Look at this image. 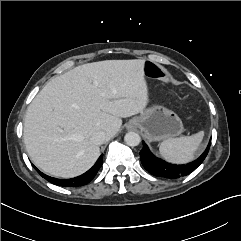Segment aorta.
Returning a JSON list of instances; mask_svg holds the SVG:
<instances>
[{
    "label": "aorta",
    "instance_id": "1",
    "mask_svg": "<svg viewBox=\"0 0 241 241\" xmlns=\"http://www.w3.org/2000/svg\"><path fill=\"white\" fill-rule=\"evenodd\" d=\"M124 141L128 146L134 147L140 144L141 137L136 132H128L124 137Z\"/></svg>",
    "mask_w": 241,
    "mask_h": 241
}]
</instances>
